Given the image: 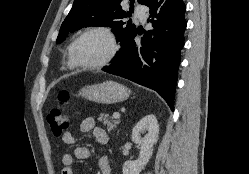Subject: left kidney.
<instances>
[{
	"mask_svg": "<svg viewBox=\"0 0 249 174\" xmlns=\"http://www.w3.org/2000/svg\"><path fill=\"white\" fill-rule=\"evenodd\" d=\"M145 130L148 133L142 138L140 133ZM159 134V125L154 115L143 117L132 130V141L140 146L139 158L134 161H126L123 164V174H140L146 164L149 162L153 147L157 143Z\"/></svg>",
	"mask_w": 249,
	"mask_h": 174,
	"instance_id": "5707ae66",
	"label": "left kidney"
}]
</instances>
